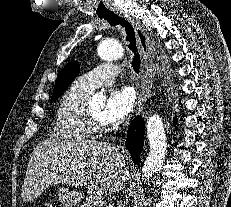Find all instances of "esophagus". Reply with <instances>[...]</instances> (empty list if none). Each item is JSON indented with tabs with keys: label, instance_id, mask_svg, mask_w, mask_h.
<instances>
[{
	"label": "esophagus",
	"instance_id": "34e87169",
	"mask_svg": "<svg viewBox=\"0 0 231 207\" xmlns=\"http://www.w3.org/2000/svg\"><path fill=\"white\" fill-rule=\"evenodd\" d=\"M116 14L121 16L122 18H125L133 26L139 44V51L142 58L141 72L143 74L139 103L140 113L143 106V102L145 101V91L147 90V86L150 84L152 79L150 70L153 64V49L147 33L133 17L120 10L116 11Z\"/></svg>",
	"mask_w": 231,
	"mask_h": 207
}]
</instances>
